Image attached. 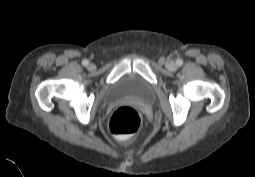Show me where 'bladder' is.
<instances>
[{
    "mask_svg": "<svg viewBox=\"0 0 255 177\" xmlns=\"http://www.w3.org/2000/svg\"><path fill=\"white\" fill-rule=\"evenodd\" d=\"M124 98L149 102L153 98V87L147 80L135 73L126 74L108 88L104 101L111 103Z\"/></svg>",
    "mask_w": 255,
    "mask_h": 177,
    "instance_id": "31cf9c89",
    "label": "bladder"
}]
</instances>
